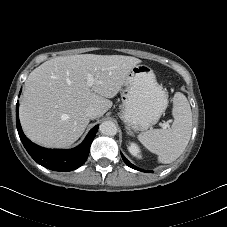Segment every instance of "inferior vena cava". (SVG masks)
Returning a JSON list of instances; mask_svg holds the SVG:
<instances>
[{"label": "inferior vena cava", "instance_id": "obj_1", "mask_svg": "<svg viewBox=\"0 0 227 227\" xmlns=\"http://www.w3.org/2000/svg\"><path fill=\"white\" fill-rule=\"evenodd\" d=\"M85 115L90 119H95L99 116V113L94 107H89L85 110Z\"/></svg>", "mask_w": 227, "mask_h": 227}]
</instances>
